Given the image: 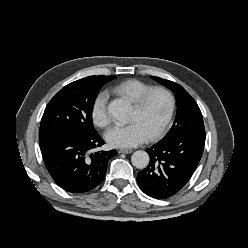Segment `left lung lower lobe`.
<instances>
[{"instance_id": "1", "label": "left lung lower lobe", "mask_w": 248, "mask_h": 248, "mask_svg": "<svg viewBox=\"0 0 248 248\" xmlns=\"http://www.w3.org/2000/svg\"><path fill=\"white\" fill-rule=\"evenodd\" d=\"M204 145L205 137L182 134L148 148L150 163L137 175L142 191L156 199L176 194L192 177Z\"/></svg>"}]
</instances>
